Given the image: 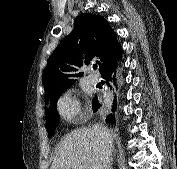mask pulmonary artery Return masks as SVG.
<instances>
[{
	"instance_id": "obj_1",
	"label": "pulmonary artery",
	"mask_w": 177,
	"mask_h": 169,
	"mask_svg": "<svg viewBox=\"0 0 177 169\" xmlns=\"http://www.w3.org/2000/svg\"><path fill=\"white\" fill-rule=\"evenodd\" d=\"M88 81H89L91 84L95 85V84H97V83L99 82V77H98L97 75H95V74H90V75L88 76Z\"/></svg>"
}]
</instances>
